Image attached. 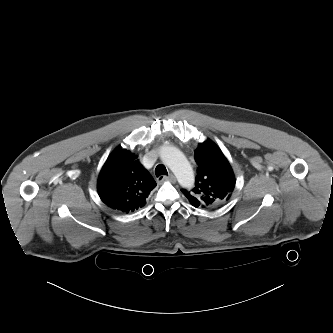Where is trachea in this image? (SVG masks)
Segmentation results:
<instances>
[{
    "instance_id": "3493384b",
    "label": "trachea",
    "mask_w": 333,
    "mask_h": 333,
    "mask_svg": "<svg viewBox=\"0 0 333 333\" xmlns=\"http://www.w3.org/2000/svg\"><path fill=\"white\" fill-rule=\"evenodd\" d=\"M155 174H156L157 177H159L160 175H168V172H167V169L164 165L159 164L155 168Z\"/></svg>"
}]
</instances>
